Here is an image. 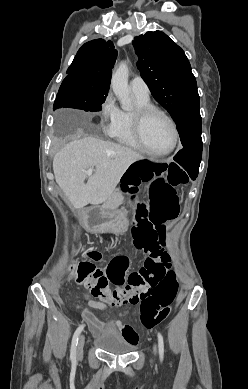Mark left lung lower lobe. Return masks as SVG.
<instances>
[{"label": "left lung lower lobe", "mask_w": 248, "mask_h": 389, "mask_svg": "<svg viewBox=\"0 0 248 389\" xmlns=\"http://www.w3.org/2000/svg\"><path fill=\"white\" fill-rule=\"evenodd\" d=\"M181 138L191 141L183 146L173 159L179 163L195 180L198 175L202 156L201 116L199 106L188 109L176 123Z\"/></svg>", "instance_id": "1"}]
</instances>
